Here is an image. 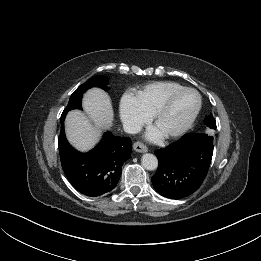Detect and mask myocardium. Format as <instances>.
<instances>
[{"label":"myocardium","instance_id":"obj_1","mask_svg":"<svg viewBox=\"0 0 261 261\" xmlns=\"http://www.w3.org/2000/svg\"><path fill=\"white\" fill-rule=\"evenodd\" d=\"M189 91L196 94V96L198 98L197 106H196L194 112L192 113V115L190 116V118L186 121V123L184 125H182L179 129H177L175 131L163 134V136L167 139L179 137V136L183 135L184 133H186L192 127V125L194 124L196 118L198 117L201 107H202V97H201L200 93L196 89L191 88V87H182L180 89H177V90L171 92L170 94H168L164 98V100L161 102V104L157 107V109L154 111V113L152 114V118H151L152 123L154 125H156L157 122L159 121V119L161 118V116L168 109V107L171 104V102L173 101V99L175 97H177L178 95H180L181 93L189 92Z\"/></svg>","mask_w":261,"mask_h":261}]
</instances>
